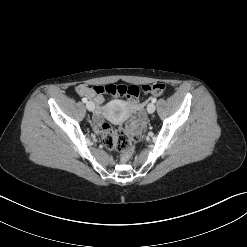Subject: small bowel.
Wrapping results in <instances>:
<instances>
[{"mask_svg": "<svg viewBox=\"0 0 247 247\" xmlns=\"http://www.w3.org/2000/svg\"><path fill=\"white\" fill-rule=\"evenodd\" d=\"M97 87V86H95ZM90 88V87H87L86 85H79L77 88H76V91L79 95H82V96H87L89 98H91L97 105V111H96V114L94 116V120H95V123L97 124V126L99 127L102 123V120H103V115H104V112H105V105H104V94L102 92V94L100 95H97L94 93V88ZM101 87V86H100ZM128 110L132 113H141V107L140 105H137V106H133L131 105V103H128Z\"/></svg>", "mask_w": 247, "mask_h": 247, "instance_id": "obj_1", "label": "small bowel"}]
</instances>
